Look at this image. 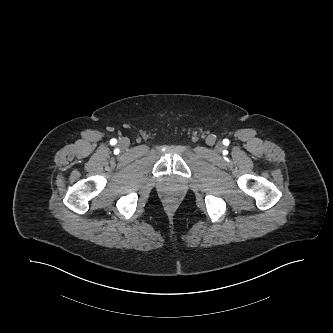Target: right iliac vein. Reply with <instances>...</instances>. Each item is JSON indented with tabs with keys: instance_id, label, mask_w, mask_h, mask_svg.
I'll list each match as a JSON object with an SVG mask.
<instances>
[{
	"instance_id": "obj_1",
	"label": "right iliac vein",
	"mask_w": 333,
	"mask_h": 333,
	"mask_svg": "<svg viewBox=\"0 0 333 333\" xmlns=\"http://www.w3.org/2000/svg\"><path fill=\"white\" fill-rule=\"evenodd\" d=\"M119 144L122 149H126L129 146V140L124 138L119 141Z\"/></svg>"
}]
</instances>
